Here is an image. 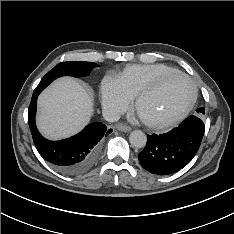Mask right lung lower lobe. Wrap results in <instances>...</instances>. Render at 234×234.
<instances>
[{
    "instance_id": "obj_1",
    "label": "right lung lower lobe",
    "mask_w": 234,
    "mask_h": 234,
    "mask_svg": "<svg viewBox=\"0 0 234 234\" xmlns=\"http://www.w3.org/2000/svg\"><path fill=\"white\" fill-rule=\"evenodd\" d=\"M40 92H34L28 109V124L39 154L66 175H79L96 161L100 140L112 132L101 122L86 126L79 134L61 141L43 138L35 125L36 103Z\"/></svg>"
}]
</instances>
